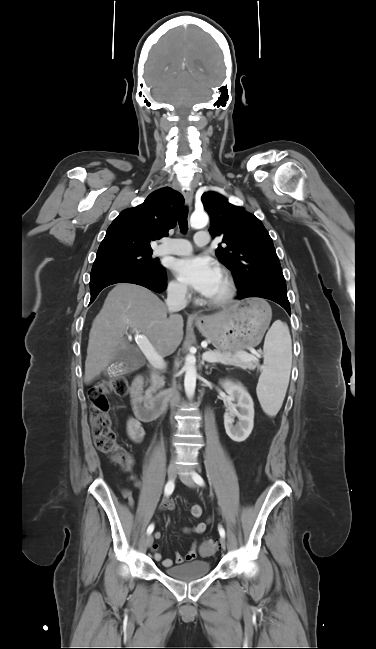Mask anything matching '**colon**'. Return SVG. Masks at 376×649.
Here are the masks:
<instances>
[{"instance_id":"5ec220e1","label":"colon","mask_w":376,"mask_h":649,"mask_svg":"<svg viewBox=\"0 0 376 649\" xmlns=\"http://www.w3.org/2000/svg\"><path fill=\"white\" fill-rule=\"evenodd\" d=\"M128 388L129 383L124 376H111L91 386L87 391V397L90 403L89 421L95 446L101 452L108 454L127 473H132L133 459L117 441L116 434L111 428L107 401L109 394L124 396L127 394ZM217 548L215 541L207 540L202 543L200 551L203 555H211L216 552Z\"/></svg>"}]
</instances>
